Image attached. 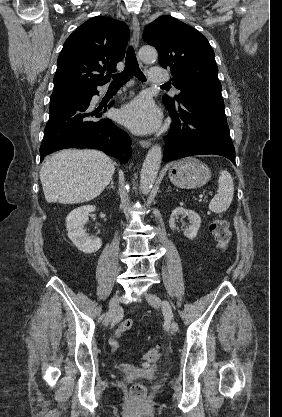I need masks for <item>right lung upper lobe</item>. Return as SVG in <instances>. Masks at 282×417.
Here are the masks:
<instances>
[{
  "instance_id": "obj_1",
  "label": "right lung upper lobe",
  "mask_w": 282,
  "mask_h": 417,
  "mask_svg": "<svg viewBox=\"0 0 282 417\" xmlns=\"http://www.w3.org/2000/svg\"><path fill=\"white\" fill-rule=\"evenodd\" d=\"M128 40L129 29L120 21L96 16L83 23L68 37L58 57L53 94L93 90L109 82L124 58Z\"/></svg>"
}]
</instances>
